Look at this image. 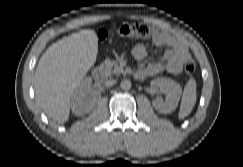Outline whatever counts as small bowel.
<instances>
[{
  "instance_id": "1",
  "label": "small bowel",
  "mask_w": 243,
  "mask_h": 167,
  "mask_svg": "<svg viewBox=\"0 0 243 167\" xmlns=\"http://www.w3.org/2000/svg\"><path fill=\"white\" fill-rule=\"evenodd\" d=\"M153 43L165 47L160 59L151 64L140 67L136 76L139 78H150L162 72L178 74L182 70L183 63L189 58V49L182 38L164 30L157 29L154 32ZM132 55L137 61H142L147 55V46L144 42L136 43L132 48Z\"/></svg>"
}]
</instances>
